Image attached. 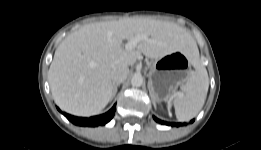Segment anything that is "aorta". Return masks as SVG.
Masks as SVG:
<instances>
[{
  "instance_id": "1",
  "label": "aorta",
  "mask_w": 261,
  "mask_h": 150,
  "mask_svg": "<svg viewBox=\"0 0 261 150\" xmlns=\"http://www.w3.org/2000/svg\"><path fill=\"white\" fill-rule=\"evenodd\" d=\"M133 87H140L143 84V77L141 75H134L131 79Z\"/></svg>"
}]
</instances>
